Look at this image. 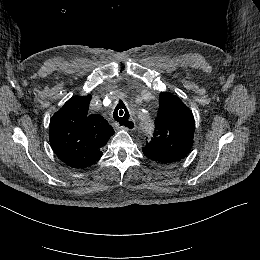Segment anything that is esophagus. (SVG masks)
Masks as SVG:
<instances>
[{
    "instance_id": "34e87169",
    "label": "esophagus",
    "mask_w": 260,
    "mask_h": 260,
    "mask_svg": "<svg viewBox=\"0 0 260 260\" xmlns=\"http://www.w3.org/2000/svg\"><path fill=\"white\" fill-rule=\"evenodd\" d=\"M135 121L133 119H130L126 125H122L120 128L123 129V130H127V131H133L135 130Z\"/></svg>"
}]
</instances>
